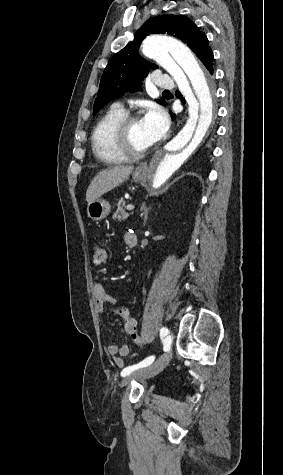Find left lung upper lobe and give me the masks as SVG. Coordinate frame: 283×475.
<instances>
[{
	"label": "left lung upper lobe",
	"instance_id": "1",
	"mask_svg": "<svg viewBox=\"0 0 283 475\" xmlns=\"http://www.w3.org/2000/svg\"><path fill=\"white\" fill-rule=\"evenodd\" d=\"M154 33L177 37L192 49L202 63L211 51L206 36L187 17L162 15L147 20L140 28L134 41L115 54L108 62L101 78L93 114L125 92L141 90L142 80L147 76L149 68L155 69L157 66L144 60L138 54V49L141 41L149 34ZM156 101L162 105L166 104L163 99Z\"/></svg>",
	"mask_w": 283,
	"mask_h": 475
}]
</instances>
